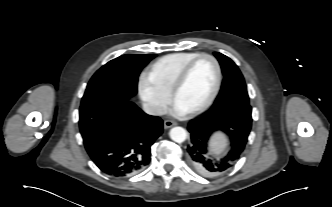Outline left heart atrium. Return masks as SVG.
I'll use <instances>...</instances> for the list:
<instances>
[{
  "mask_svg": "<svg viewBox=\"0 0 332 207\" xmlns=\"http://www.w3.org/2000/svg\"><path fill=\"white\" fill-rule=\"evenodd\" d=\"M173 112L174 114L178 115V116H183L185 114H187V111L184 110L182 107H180L178 104L174 103L173 106Z\"/></svg>",
  "mask_w": 332,
  "mask_h": 207,
  "instance_id": "obj_1",
  "label": "left heart atrium"
}]
</instances>
